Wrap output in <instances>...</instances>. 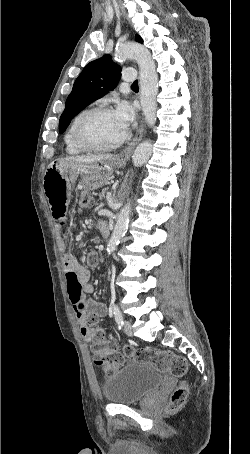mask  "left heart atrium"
Returning a JSON list of instances; mask_svg holds the SVG:
<instances>
[{
    "label": "left heart atrium",
    "instance_id": "39dd6f15",
    "mask_svg": "<svg viewBox=\"0 0 250 454\" xmlns=\"http://www.w3.org/2000/svg\"><path fill=\"white\" fill-rule=\"evenodd\" d=\"M114 113L121 126L124 129H127L134 118V110L132 106L125 101H120L117 103Z\"/></svg>",
    "mask_w": 250,
    "mask_h": 454
}]
</instances>
